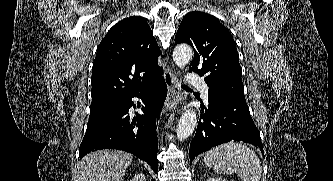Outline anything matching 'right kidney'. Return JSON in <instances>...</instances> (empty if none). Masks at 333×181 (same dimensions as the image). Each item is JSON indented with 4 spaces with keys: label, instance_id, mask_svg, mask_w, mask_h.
Listing matches in <instances>:
<instances>
[{
    "label": "right kidney",
    "instance_id": "1",
    "mask_svg": "<svg viewBox=\"0 0 333 181\" xmlns=\"http://www.w3.org/2000/svg\"><path fill=\"white\" fill-rule=\"evenodd\" d=\"M131 181H146L144 174H137Z\"/></svg>",
    "mask_w": 333,
    "mask_h": 181
}]
</instances>
